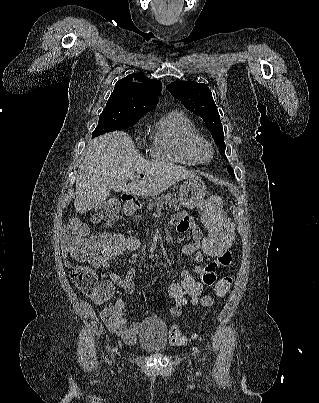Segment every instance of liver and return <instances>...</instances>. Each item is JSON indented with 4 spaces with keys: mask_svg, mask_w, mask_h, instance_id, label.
<instances>
[{
    "mask_svg": "<svg viewBox=\"0 0 319 403\" xmlns=\"http://www.w3.org/2000/svg\"><path fill=\"white\" fill-rule=\"evenodd\" d=\"M130 176L136 180L126 184ZM186 178L197 176L173 163L144 159L123 131L106 133L87 146L76 178L74 207L77 213L90 211L109 197L110 190L154 196Z\"/></svg>",
    "mask_w": 319,
    "mask_h": 403,
    "instance_id": "obj_1",
    "label": "liver"
}]
</instances>
